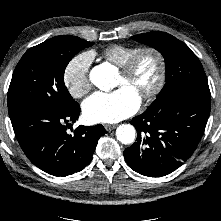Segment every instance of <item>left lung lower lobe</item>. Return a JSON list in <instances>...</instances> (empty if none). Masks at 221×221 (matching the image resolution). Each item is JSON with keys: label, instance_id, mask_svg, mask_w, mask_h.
<instances>
[{"label": "left lung lower lobe", "instance_id": "left-lung-lower-lobe-1", "mask_svg": "<svg viewBox=\"0 0 221 221\" xmlns=\"http://www.w3.org/2000/svg\"><path fill=\"white\" fill-rule=\"evenodd\" d=\"M211 96L182 93L163 100L130 122L137 139L124 150L127 164L149 177H162L179 168L195 151L210 114Z\"/></svg>", "mask_w": 221, "mask_h": 221}]
</instances>
